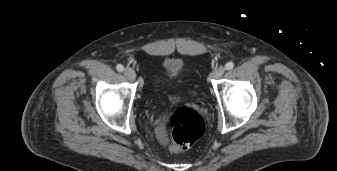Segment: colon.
Instances as JSON below:
<instances>
[{
    "instance_id": "1",
    "label": "colon",
    "mask_w": 337,
    "mask_h": 171,
    "mask_svg": "<svg viewBox=\"0 0 337 171\" xmlns=\"http://www.w3.org/2000/svg\"><path fill=\"white\" fill-rule=\"evenodd\" d=\"M168 126L176 150L189 148L205 131L203 118L189 108L177 109L170 116Z\"/></svg>"
}]
</instances>
